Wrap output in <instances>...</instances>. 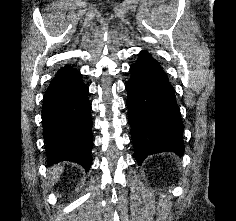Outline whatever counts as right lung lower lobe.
<instances>
[{"instance_id":"right-lung-lower-lobe-1","label":"right lung lower lobe","mask_w":236,"mask_h":221,"mask_svg":"<svg viewBox=\"0 0 236 221\" xmlns=\"http://www.w3.org/2000/svg\"><path fill=\"white\" fill-rule=\"evenodd\" d=\"M88 87L80 73L62 67L43 99V137L49 163L76 162L86 170L91 165V119Z\"/></svg>"}]
</instances>
